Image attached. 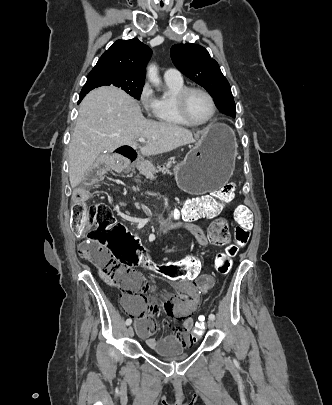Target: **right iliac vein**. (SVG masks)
<instances>
[{
	"instance_id": "63e3f726",
	"label": "right iliac vein",
	"mask_w": 332,
	"mask_h": 405,
	"mask_svg": "<svg viewBox=\"0 0 332 405\" xmlns=\"http://www.w3.org/2000/svg\"><path fill=\"white\" fill-rule=\"evenodd\" d=\"M127 335L129 336V337H133L134 336V330H133V327H128V329H127Z\"/></svg>"
}]
</instances>
